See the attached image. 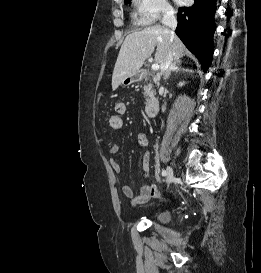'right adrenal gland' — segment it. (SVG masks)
<instances>
[{
	"label": "right adrenal gland",
	"mask_w": 261,
	"mask_h": 273,
	"mask_svg": "<svg viewBox=\"0 0 261 273\" xmlns=\"http://www.w3.org/2000/svg\"><path fill=\"white\" fill-rule=\"evenodd\" d=\"M180 65H181V61H180V60L175 61L173 68L170 69V70L166 73L164 79H168V78L170 77L171 72H173V71H176V72L180 71V70H181V69L179 68Z\"/></svg>",
	"instance_id": "right-adrenal-gland-1"
}]
</instances>
